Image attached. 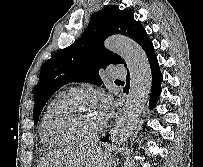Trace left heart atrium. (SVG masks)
Masks as SVG:
<instances>
[{
	"label": "left heart atrium",
	"instance_id": "1",
	"mask_svg": "<svg viewBox=\"0 0 203 167\" xmlns=\"http://www.w3.org/2000/svg\"><path fill=\"white\" fill-rule=\"evenodd\" d=\"M112 112V103L109 98H103L100 104L99 114L102 118L103 123H105L110 117Z\"/></svg>",
	"mask_w": 203,
	"mask_h": 167
}]
</instances>
